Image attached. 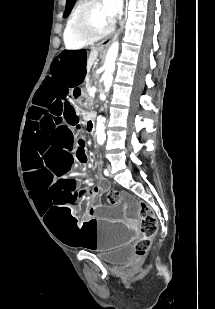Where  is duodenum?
<instances>
[{
  "label": "duodenum",
  "instance_id": "obj_1",
  "mask_svg": "<svg viewBox=\"0 0 215 309\" xmlns=\"http://www.w3.org/2000/svg\"><path fill=\"white\" fill-rule=\"evenodd\" d=\"M96 119H97L96 114H88L86 116V123H87L88 129L92 132H95Z\"/></svg>",
  "mask_w": 215,
  "mask_h": 309
}]
</instances>
